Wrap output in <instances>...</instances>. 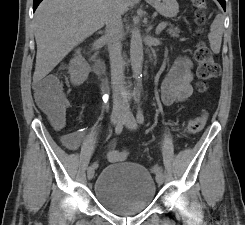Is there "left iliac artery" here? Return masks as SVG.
I'll list each match as a JSON object with an SVG mask.
<instances>
[{
    "instance_id": "1",
    "label": "left iliac artery",
    "mask_w": 245,
    "mask_h": 225,
    "mask_svg": "<svg viewBox=\"0 0 245 225\" xmlns=\"http://www.w3.org/2000/svg\"><path fill=\"white\" fill-rule=\"evenodd\" d=\"M136 116H137L138 123L139 124H143V122H144V114H143V111H142V109L140 107V104L138 106V111H137V115ZM153 172L157 176V175L162 173V168L160 166H158V165H155L153 167Z\"/></svg>"
}]
</instances>
